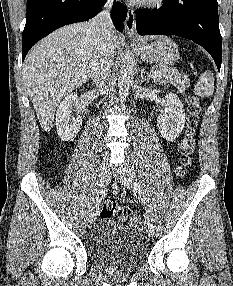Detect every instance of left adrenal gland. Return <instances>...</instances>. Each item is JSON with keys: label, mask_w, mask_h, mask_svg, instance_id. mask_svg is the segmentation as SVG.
<instances>
[{"label": "left adrenal gland", "mask_w": 233, "mask_h": 286, "mask_svg": "<svg viewBox=\"0 0 233 286\" xmlns=\"http://www.w3.org/2000/svg\"><path fill=\"white\" fill-rule=\"evenodd\" d=\"M145 73H146L145 68H142L141 70V82L142 83L150 81V76H146Z\"/></svg>", "instance_id": "a2214340"}]
</instances>
